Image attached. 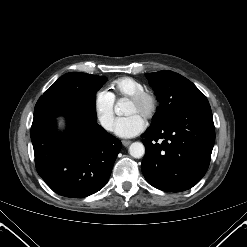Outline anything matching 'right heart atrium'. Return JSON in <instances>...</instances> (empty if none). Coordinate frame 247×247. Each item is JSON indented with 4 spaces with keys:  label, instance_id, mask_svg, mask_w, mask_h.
Listing matches in <instances>:
<instances>
[{
    "label": "right heart atrium",
    "instance_id": "right-heart-atrium-1",
    "mask_svg": "<svg viewBox=\"0 0 247 247\" xmlns=\"http://www.w3.org/2000/svg\"><path fill=\"white\" fill-rule=\"evenodd\" d=\"M114 103L115 100L107 90L97 92L94 100V110L98 123L105 131L114 128Z\"/></svg>",
    "mask_w": 247,
    "mask_h": 247
}]
</instances>
